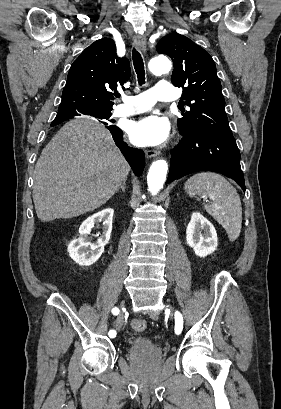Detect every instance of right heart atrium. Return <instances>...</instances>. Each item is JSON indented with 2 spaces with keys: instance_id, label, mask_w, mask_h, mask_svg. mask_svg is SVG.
Here are the masks:
<instances>
[{
  "instance_id": "d8ad5b80",
  "label": "right heart atrium",
  "mask_w": 281,
  "mask_h": 409,
  "mask_svg": "<svg viewBox=\"0 0 281 409\" xmlns=\"http://www.w3.org/2000/svg\"><path fill=\"white\" fill-rule=\"evenodd\" d=\"M124 131L128 132V126L127 125L124 126Z\"/></svg>"
}]
</instances>
